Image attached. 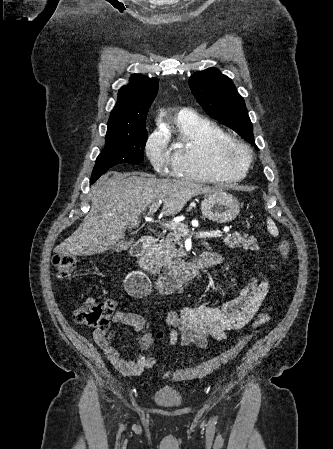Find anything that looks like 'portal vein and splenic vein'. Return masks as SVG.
Listing matches in <instances>:
<instances>
[{
  "label": "portal vein and splenic vein",
  "instance_id": "18ae733b",
  "mask_svg": "<svg viewBox=\"0 0 333 449\" xmlns=\"http://www.w3.org/2000/svg\"><path fill=\"white\" fill-rule=\"evenodd\" d=\"M161 203H162L161 200H159V202L157 203H153L150 206L148 214L153 215L158 210ZM162 225L165 226V228H170L171 230H177L183 232L184 234H188V231L186 230L184 224H179L177 222H170V223H162ZM221 234H222L221 231H210V232L206 231V232H196L195 236L197 238L206 239V238H216L221 236Z\"/></svg>",
  "mask_w": 333,
  "mask_h": 449
}]
</instances>
